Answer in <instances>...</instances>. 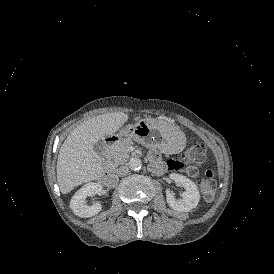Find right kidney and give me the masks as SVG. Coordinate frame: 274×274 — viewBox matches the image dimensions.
<instances>
[{
  "mask_svg": "<svg viewBox=\"0 0 274 274\" xmlns=\"http://www.w3.org/2000/svg\"><path fill=\"white\" fill-rule=\"evenodd\" d=\"M102 189L100 184L94 182L87 183L80 188L70 201V208L74 214L83 218L98 214L102 209L101 204L96 202L92 206H88L85 203V199L92 194H101Z\"/></svg>",
  "mask_w": 274,
  "mask_h": 274,
  "instance_id": "right-kidney-1",
  "label": "right kidney"
}]
</instances>
